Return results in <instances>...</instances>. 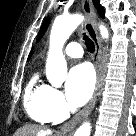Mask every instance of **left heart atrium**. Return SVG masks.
<instances>
[{
    "instance_id": "39dd6f15",
    "label": "left heart atrium",
    "mask_w": 136,
    "mask_h": 136,
    "mask_svg": "<svg viewBox=\"0 0 136 136\" xmlns=\"http://www.w3.org/2000/svg\"><path fill=\"white\" fill-rule=\"evenodd\" d=\"M95 86V75L92 67L82 63L73 67L67 78L66 93L73 106H82L91 97Z\"/></svg>"
}]
</instances>
